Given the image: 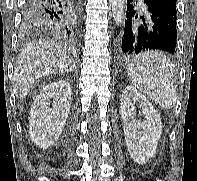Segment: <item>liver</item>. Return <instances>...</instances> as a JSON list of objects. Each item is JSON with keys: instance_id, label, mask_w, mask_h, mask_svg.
<instances>
[{"instance_id": "liver-1", "label": "liver", "mask_w": 197, "mask_h": 181, "mask_svg": "<svg viewBox=\"0 0 197 181\" xmlns=\"http://www.w3.org/2000/svg\"><path fill=\"white\" fill-rule=\"evenodd\" d=\"M74 69L72 61L57 43L40 40L24 48L16 62L13 81L18 99H24L35 82L52 74Z\"/></svg>"}]
</instances>
